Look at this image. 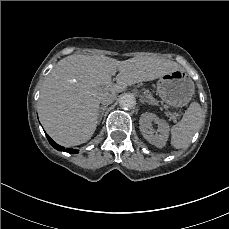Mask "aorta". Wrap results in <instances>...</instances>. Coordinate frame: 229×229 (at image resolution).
<instances>
[{
	"label": "aorta",
	"mask_w": 229,
	"mask_h": 229,
	"mask_svg": "<svg viewBox=\"0 0 229 229\" xmlns=\"http://www.w3.org/2000/svg\"><path fill=\"white\" fill-rule=\"evenodd\" d=\"M119 104L124 109H132L136 106V99L132 94H124L120 97Z\"/></svg>",
	"instance_id": "1"
}]
</instances>
